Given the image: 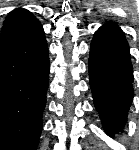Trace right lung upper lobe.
<instances>
[{"mask_svg": "<svg viewBox=\"0 0 139 150\" xmlns=\"http://www.w3.org/2000/svg\"><path fill=\"white\" fill-rule=\"evenodd\" d=\"M21 11H24V9H16V10L10 12V13L8 14V16L6 17L5 22H6L7 20H9L11 17H13L14 15H16L17 13H20Z\"/></svg>", "mask_w": 139, "mask_h": 150, "instance_id": "1", "label": "right lung upper lobe"}]
</instances>
